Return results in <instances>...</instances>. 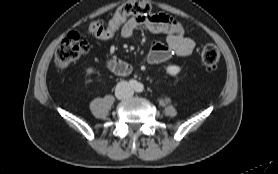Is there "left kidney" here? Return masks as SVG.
<instances>
[{
    "label": "left kidney",
    "instance_id": "left-kidney-1",
    "mask_svg": "<svg viewBox=\"0 0 278 174\" xmlns=\"http://www.w3.org/2000/svg\"><path fill=\"white\" fill-rule=\"evenodd\" d=\"M181 68L177 65H170L166 68V71L171 76H176L180 72Z\"/></svg>",
    "mask_w": 278,
    "mask_h": 174
}]
</instances>
